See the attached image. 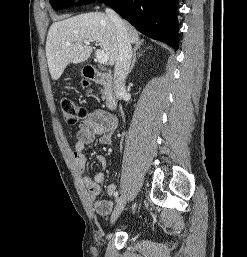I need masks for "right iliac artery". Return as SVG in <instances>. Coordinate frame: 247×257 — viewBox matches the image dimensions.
I'll return each instance as SVG.
<instances>
[{
	"instance_id": "82829eb1",
	"label": "right iliac artery",
	"mask_w": 247,
	"mask_h": 257,
	"mask_svg": "<svg viewBox=\"0 0 247 257\" xmlns=\"http://www.w3.org/2000/svg\"><path fill=\"white\" fill-rule=\"evenodd\" d=\"M116 197L118 196V192L116 193V195H115Z\"/></svg>"
}]
</instances>
